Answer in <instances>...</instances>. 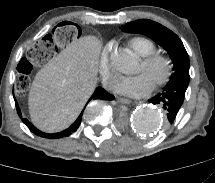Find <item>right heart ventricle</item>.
<instances>
[{
	"label": "right heart ventricle",
	"mask_w": 215,
	"mask_h": 183,
	"mask_svg": "<svg viewBox=\"0 0 215 183\" xmlns=\"http://www.w3.org/2000/svg\"><path fill=\"white\" fill-rule=\"evenodd\" d=\"M129 47L139 56L149 55L156 50L155 43L147 37L135 36L128 40Z\"/></svg>",
	"instance_id": "1"
}]
</instances>
